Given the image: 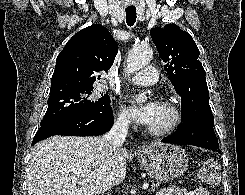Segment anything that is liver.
<instances>
[{
	"mask_svg": "<svg viewBox=\"0 0 245 195\" xmlns=\"http://www.w3.org/2000/svg\"><path fill=\"white\" fill-rule=\"evenodd\" d=\"M31 155L28 195H97L125 179L130 154L104 137L53 136L37 143Z\"/></svg>",
	"mask_w": 245,
	"mask_h": 195,
	"instance_id": "1",
	"label": "liver"
}]
</instances>
